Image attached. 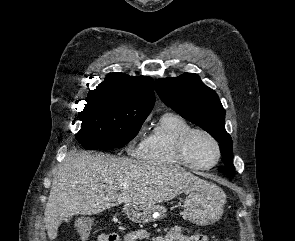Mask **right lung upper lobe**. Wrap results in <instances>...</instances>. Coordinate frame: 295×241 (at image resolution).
Returning <instances> with one entry per match:
<instances>
[{"label":"right lung upper lobe","mask_w":295,"mask_h":241,"mask_svg":"<svg viewBox=\"0 0 295 241\" xmlns=\"http://www.w3.org/2000/svg\"><path fill=\"white\" fill-rule=\"evenodd\" d=\"M105 94L150 113L155 102L154 81L151 77H132L110 73L90 94Z\"/></svg>","instance_id":"1"}]
</instances>
